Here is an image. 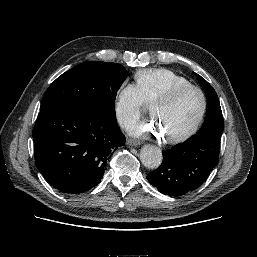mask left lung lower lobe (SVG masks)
Returning a JSON list of instances; mask_svg holds the SVG:
<instances>
[{"label": "left lung lower lobe", "instance_id": "1", "mask_svg": "<svg viewBox=\"0 0 257 257\" xmlns=\"http://www.w3.org/2000/svg\"><path fill=\"white\" fill-rule=\"evenodd\" d=\"M220 139H188L163 151L161 166L147 175L159 192L182 196L200 187L219 160Z\"/></svg>", "mask_w": 257, "mask_h": 257}]
</instances>
